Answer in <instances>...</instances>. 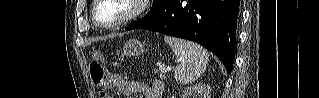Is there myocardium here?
<instances>
[{"instance_id":"myocardium-1","label":"myocardium","mask_w":319,"mask_h":98,"mask_svg":"<svg viewBox=\"0 0 319 98\" xmlns=\"http://www.w3.org/2000/svg\"><path fill=\"white\" fill-rule=\"evenodd\" d=\"M103 1L104 0H95L94 1L93 7L91 10V17H92V21L95 24V26H97L98 28H101V29H105V30L116 29V28H119V27H122L126 24L131 23L132 21H134L135 19L140 17L146 11L147 4L150 2L148 0H127L131 4L132 9L126 16H124L123 18H121L113 23L102 24L99 22V20L97 18V10Z\"/></svg>"}]
</instances>
